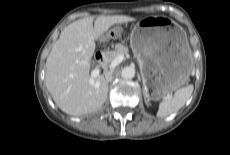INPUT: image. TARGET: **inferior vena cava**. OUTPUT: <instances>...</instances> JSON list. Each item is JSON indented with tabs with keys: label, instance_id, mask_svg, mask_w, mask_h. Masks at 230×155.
<instances>
[{
	"label": "inferior vena cava",
	"instance_id": "1",
	"mask_svg": "<svg viewBox=\"0 0 230 155\" xmlns=\"http://www.w3.org/2000/svg\"><path fill=\"white\" fill-rule=\"evenodd\" d=\"M105 79L107 82H110L113 79V71H108L105 73Z\"/></svg>",
	"mask_w": 230,
	"mask_h": 155
}]
</instances>
